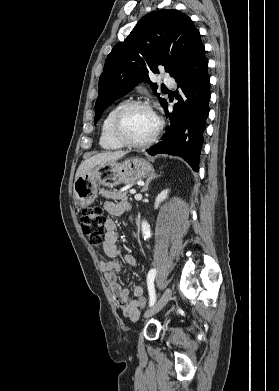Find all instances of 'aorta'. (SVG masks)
I'll use <instances>...</instances> for the list:
<instances>
[{
  "instance_id": "1",
  "label": "aorta",
  "mask_w": 279,
  "mask_h": 391,
  "mask_svg": "<svg viewBox=\"0 0 279 391\" xmlns=\"http://www.w3.org/2000/svg\"><path fill=\"white\" fill-rule=\"evenodd\" d=\"M141 227H142V234L144 239L150 238V226L147 223V221H143Z\"/></svg>"
}]
</instances>
